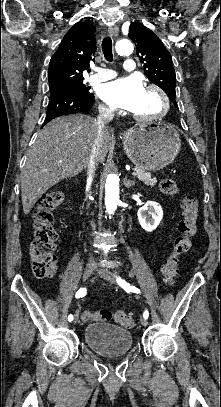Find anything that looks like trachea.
Here are the masks:
<instances>
[{
	"instance_id": "trachea-1",
	"label": "trachea",
	"mask_w": 221,
	"mask_h": 407,
	"mask_svg": "<svg viewBox=\"0 0 221 407\" xmlns=\"http://www.w3.org/2000/svg\"><path fill=\"white\" fill-rule=\"evenodd\" d=\"M102 51L107 61H113L112 40L109 36H106L102 41Z\"/></svg>"
}]
</instances>
